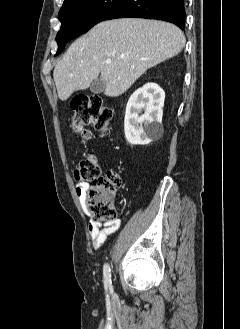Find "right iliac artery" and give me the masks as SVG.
<instances>
[{
	"label": "right iliac artery",
	"mask_w": 240,
	"mask_h": 329,
	"mask_svg": "<svg viewBox=\"0 0 240 329\" xmlns=\"http://www.w3.org/2000/svg\"><path fill=\"white\" fill-rule=\"evenodd\" d=\"M104 285L106 288L111 286V269L108 263L103 266Z\"/></svg>",
	"instance_id": "right-iliac-artery-1"
}]
</instances>
